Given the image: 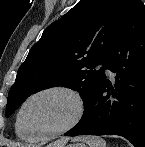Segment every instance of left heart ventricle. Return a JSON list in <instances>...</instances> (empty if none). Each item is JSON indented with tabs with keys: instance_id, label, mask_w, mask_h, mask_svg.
Masks as SVG:
<instances>
[{
	"instance_id": "left-heart-ventricle-1",
	"label": "left heart ventricle",
	"mask_w": 145,
	"mask_h": 147,
	"mask_svg": "<svg viewBox=\"0 0 145 147\" xmlns=\"http://www.w3.org/2000/svg\"><path fill=\"white\" fill-rule=\"evenodd\" d=\"M74 101L61 93H50L32 100L21 119V131L28 135L50 132L66 125L74 116Z\"/></svg>"
}]
</instances>
